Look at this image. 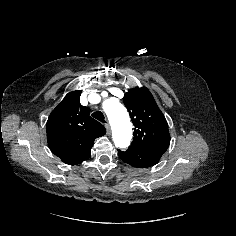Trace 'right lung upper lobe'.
Wrapping results in <instances>:
<instances>
[{
	"mask_svg": "<svg viewBox=\"0 0 236 236\" xmlns=\"http://www.w3.org/2000/svg\"><path fill=\"white\" fill-rule=\"evenodd\" d=\"M80 95L79 90L68 93L46 125L50 150L69 165L87 160L94 140L106 133L105 127L89 116V109L80 104Z\"/></svg>",
	"mask_w": 236,
	"mask_h": 236,
	"instance_id": "1",
	"label": "right lung upper lobe"
}]
</instances>
